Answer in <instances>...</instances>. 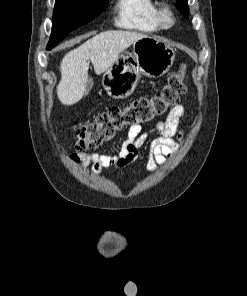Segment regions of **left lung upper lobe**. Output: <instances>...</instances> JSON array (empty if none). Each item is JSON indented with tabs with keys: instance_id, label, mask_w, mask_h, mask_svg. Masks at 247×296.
<instances>
[{
	"instance_id": "1",
	"label": "left lung upper lobe",
	"mask_w": 247,
	"mask_h": 296,
	"mask_svg": "<svg viewBox=\"0 0 247 296\" xmlns=\"http://www.w3.org/2000/svg\"><path fill=\"white\" fill-rule=\"evenodd\" d=\"M178 10L185 16L188 17L189 8L187 6V0H179L177 3Z\"/></svg>"
}]
</instances>
